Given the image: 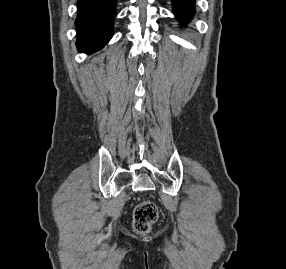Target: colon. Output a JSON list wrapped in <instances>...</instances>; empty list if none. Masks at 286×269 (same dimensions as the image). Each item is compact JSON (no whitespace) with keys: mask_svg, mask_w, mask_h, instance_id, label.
<instances>
[{"mask_svg":"<svg viewBox=\"0 0 286 269\" xmlns=\"http://www.w3.org/2000/svg\"><path fill=\"white\" fill-rule=\"evenodd\" d=\"M158 219V209L152 201L139 203L133 212V227L138 233H146Z\"/></svg>","mask_w":286,"mask_h":269,"instance_id":"1","label":"colon"}]
</instances>
